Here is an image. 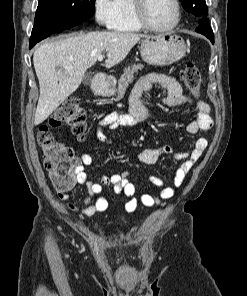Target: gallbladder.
<instances>
[{
    "mask_svg": "<svg viewBox=\"0 0 247 296\" xmlns=\"http://www.w3.org/2000/svg\"><path fill=\"white\" fill-rule=\"evenodd\" d=\"M91 80H92V77H91L90 74L85 75L84 78H83V82L86 85H89L91 83Z\"/></svg>",
    "mask_w": 247,
    "mask_h": 296,
    "instance_id": "gallbladder-1",
    "label": "gallbladder"
}]
</instances>
